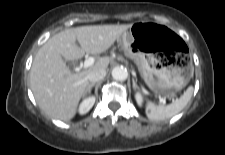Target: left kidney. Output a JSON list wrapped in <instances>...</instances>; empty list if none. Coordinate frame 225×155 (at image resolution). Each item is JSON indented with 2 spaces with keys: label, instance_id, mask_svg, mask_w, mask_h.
<instances>
[{
  "label": "left kidney",
  "instance_id": "left-kidney-1",
  "mask_svg": "<svg viewBox=\"0 0 225 155\" xmlns=\"http://www.w3.org/2000/svg\"><path fill=\"white\" fill-rule=\"evenodd\" d=\"M135 99H136L137 104H138L139 106H142V104H143V96H142V94L139 93V92H137V93L135 94Z\"/></svg>",
  "mask_w": 225,
  "mask_h": 155
}]
</instances>
